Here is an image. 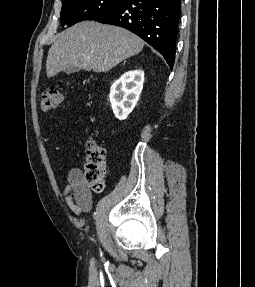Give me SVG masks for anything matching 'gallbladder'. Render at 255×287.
Segmentation results:
<instances>
[{
  "label": "gallbladder",
  "mask_w": 255,
  "mask_h": 287,
  "mask_svg": "<svg viewBox=\"0 0 255 287\" xmlns=\"http://www.w3.org/2000/svg\"><path fill=\"white\" fill-rule=\"evenodd\" d=\"M80 68H75V66H73V64H70V66H66L64 72H66V74H73V72H79Z\"/></svg>",
  "instance_id": "1"
}]
</instances>
